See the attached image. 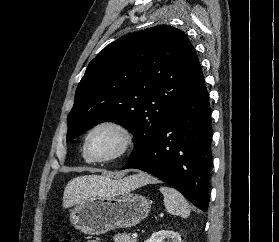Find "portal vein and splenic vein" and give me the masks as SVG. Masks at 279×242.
<instances>
[{"label": "portal vein and splenic vein", "instance_id": "obj_1", "mask_svg": "<svg viewBox=\"0 0 279 242\" xmlns=\"http://www.w3.org/2000/svg\"><path fill=\"white\" fill-rule=\"evenodd\" d=\"M137 236H138V233H136V232L132 234V238H137Z\"/></svg>", "mask_w": 279, "mask_h": 242}]
</instances>
